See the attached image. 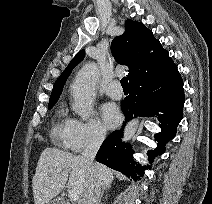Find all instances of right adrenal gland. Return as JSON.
<instances>
[{
    "mask_svg": "<svg viewBox=\"0 0 212 204\" xmlns=\"http://www.w3.org/2000/svg\"><path fill=\"white\" fill-rule=\"evenodd\" d=\"M107 190V188H105V187H103L102 188V191H101V194H100V196H99V203L98 204H100V202H101V200H102V198H103V195H104V192Z\"/></svg>",
    "mask_w": 212,
    "mask_h": 204,
    "instance_id": "2a0ac1e0",
    "label": "right adrenal gland"
}]
</instances>
